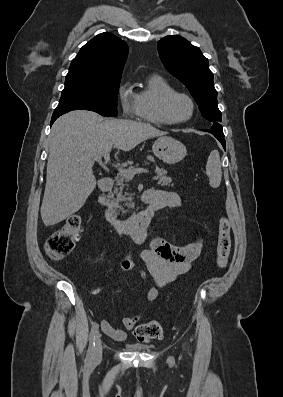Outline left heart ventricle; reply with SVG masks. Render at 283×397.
I'll return each instance as SVG.
<instances>
[{
    "label": "left heart ventricle",
    "mask_w": 283,
    "mask_h": 397,
    "mask_svg": "<svg viewBox=\"0 0 283 397\" xmlns=\"http://www.w3.org/2000/svg\"><path fill=\"white\" fill-rule=\"evenodd\" d=\"M191 110L189 102L182 98L176 97L170 104V114L175 119H182L189 115Z\"/></svg>",
    "instance_id": "1"
}]
</instances>
